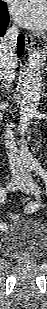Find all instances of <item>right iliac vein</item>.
<instances>
[{
	"instance_id": "63e3f726",
	"label": "right iliac vein",
	"mask_w": 47,
	"mask_h": 309,
	"mask_svg": "<svg viewBox=\"0 0 47 309\" xmlns=\"http://www.w3.org/2000/svg\"><path fill=\"white\" fill-rule=\"evenodd\" d=\"M24 179L21 177H13L11 181L8 184V190L14 191L17 188H20V186L23 184Z\"/></svg>"
}]
</instances>
